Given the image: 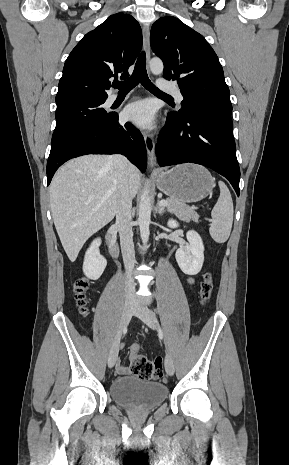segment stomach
I'll return each instance as SVG.
<instances>
[{"label": "stomach", "instance_id": "1", "mask_svg": "<svg viewBox=\"0 0 289 465\" xmlns=\"http://www.w3.org/2000/svg\"><path fill=\"white\" fill-rule=\"evenodd\" d=\"M159 190L180 202L193 203L207 197L214 187L210 172L196 164L177 165L155 175Z\"/></svg>", "mask_w": 289, "mask_h": 465}]
</instances>
